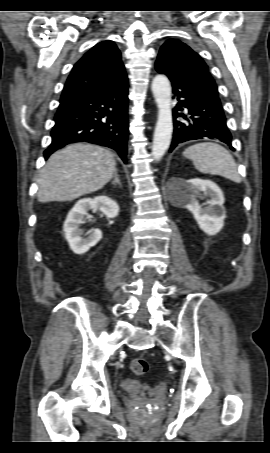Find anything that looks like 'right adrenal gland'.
Returning a JSON list of instances; mask_svg holds the SVG:
<instances>
[{
	"label": "right adrenal gland",
	"instance_id": "1",
	"mask_svg": "<svg viewBox=\"0 0 270 453\" xmlns=\"http://www.w3.org/2000/svg\"><path fill=\"white\" fill-rule=\"evenodd\" d=\"M111 184H118L121 187V182H120L119 177H118V170L115 171L114 178L111 181Z\"/></svg>",
	"mask_w": 270,
	"mask_h": 453
}]
</instances>
